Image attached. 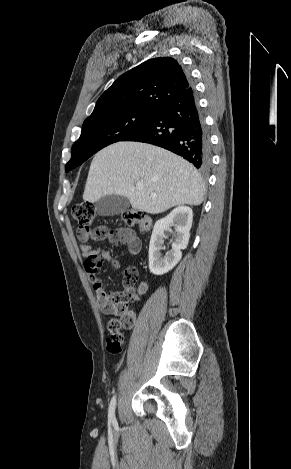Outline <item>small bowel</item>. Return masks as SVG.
Returning a JSON list of instances; mask_svg holds the SVG:
<instances>
[{"label": "small bowel", "instance_id": "1", "mask_svg": "<svg viewBox=\"0 0 291 469\" xmlns=\"http://www.w3.org/2000/svg\"><path fill=\"white\" fill-rule=\"evenodd\" d=\"M77 241L80 249V254L85 258V268L88 272L91 282L95 285L96 283H102L97 277L95 272H90L87 269L86 263L88 259H100L106 265H110L113 262L112 255L110 251L101 248H93L92 245L88 243L89 238H87L84 233L80 230L77 231ZM115 244H125L127 246L128 252L130 254H137L141 249V241L136 236V234L131 230H125L123 238L119 241H113ZM103 284V283H102ZM104 286V284H103ZM96 291V299L99 307L104 313L110 314L112 308L114 307L113 297L119 292L110 293L106 287L98 290L94 287ZM146 290V285L142 283L140 285V291L143 292Z\"/></svg>", "mask_w": 291, "mask_h": 469}]
</instances>
